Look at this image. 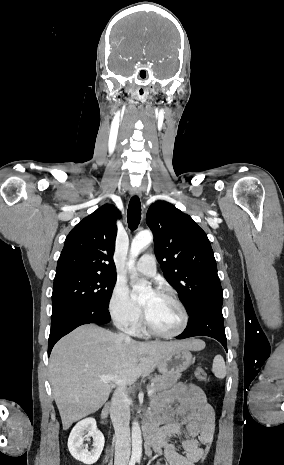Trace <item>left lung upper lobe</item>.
<instances>
[{
    "mask_svg": "<svg viewBox=\"0 0 284 465\" xmlns=\"http://www.w3.org/2000/svg\"><path fill=\"white\" fill-rule=\"evenodd\" d=\"M155 254L165 278L185 302L188 314L206 304L222 305L223 290L206 233L187 214L165 201L148 209Z\"/></svg>",
    "mask_w": 284,
    "mask_h": 465,
    "instance_id": "5c2ea615",
    "label": "left lung upper lobe"
}]
</instances>
